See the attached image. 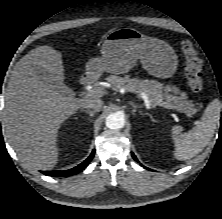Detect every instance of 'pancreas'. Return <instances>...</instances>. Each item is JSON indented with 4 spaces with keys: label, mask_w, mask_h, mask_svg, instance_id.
Listing matches in <instances>:
<instances>
[{
    "label": "pancreas",
    "mask_w": 222,
    "mask_h": 219,
    "mask_svg": "<svg viewBox=\"0 0 222 219\" xmlns=\"http://www.w3.org/2000/svg\"><path fill=\"white\" fill-rule=\"evenodd\" d=\"M106 80L111 84L113 89L126 88L133 93H146L152 106L157 105L159 100H166V102L174 103L176 109L187 116H193L198 111L195 104L187 100L186 93H180L176 87L163 86V84L154 80L130 78L129 75H125L124 77L111 75ZM170 91L178 93L180 96L169 94Z\"/></svg>",
    "instance_id": "1"
}]
</instances>
